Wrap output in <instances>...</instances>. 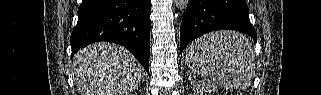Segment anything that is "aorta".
I'll list each match as a JSON object with an SVG mask.
<instances>
[{
	"mask_svg": "<svg viewBox=\"0 0 321 95\" xmlns=\"http://www.w3.org/2000/svg\"><path fill=\"white\" fill-rule=\"evenodd\" d=\"M174 2L176 7L183 12L187 8L189 0H174Z\"/></svg>",
	"mask_w": 321,
	"mask_h": 95,
	"instance_id": "aorta-1",
	"label": "aorta"
}]
</instances>
